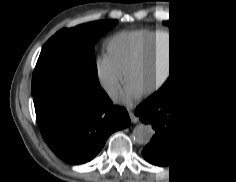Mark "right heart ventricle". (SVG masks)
Segmentation results:
<instances>
[{"label": "right heart ventricle", "instance_id": "right-heart-ventricle-1", "mask_svg": "<svg viewBox=\"0 0 236 182\" xmlns=\"http://www.w3.org/2000/svg\"><path fill=\"white\" fill-rule=\"evenodd\" d=\"M149 32H123L108 47L107 60L119 70H125L137 51L146 42Z\"/></svg>", "mask_w": 236, "mask_h": 182}]
</instances>
